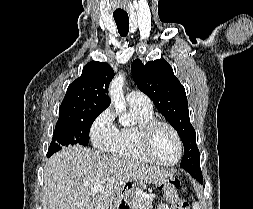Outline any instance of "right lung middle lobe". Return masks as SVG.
I'll return each mask as SVG.
<instances>
[{"mask_svg":"<svg viewBox=\"0 0 253 209\" xmlns=\"http://www.w3.org/2000/svg\"><path fill=\"white\" fill-rule=\"evenodd\" d=\"M100 113H88L57 122L47 157L61 150L62 146L74 144L88 145L90 127Z\"/></svg>","mask_w":253,"mask_h":209,"instance_id":"obj_1","label":"right lung middle lobe"}]
</instances>
